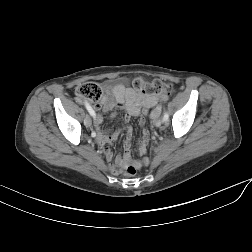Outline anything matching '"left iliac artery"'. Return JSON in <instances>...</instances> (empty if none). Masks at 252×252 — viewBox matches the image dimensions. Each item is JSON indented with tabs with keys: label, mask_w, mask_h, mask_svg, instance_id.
I'll return each mask as SVG.
<instances>
[{
	"label": "left iliac artery",
	"mask_w": 252,
	"mask_h": 252,
	"mask_svg": "<svg viewBox=\"0 0 252 252\" xmlns=\"http://www.w3.org/2000/svg\"><path fill=\"white\" fill-rule=\"evenodd\" d=\"M168 119H169V115L167 112H165L163 116V121H167Z\"/></svg>",
	"instance_id": "left-iliac-artery-1"
}]
</instances>
